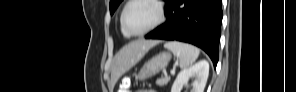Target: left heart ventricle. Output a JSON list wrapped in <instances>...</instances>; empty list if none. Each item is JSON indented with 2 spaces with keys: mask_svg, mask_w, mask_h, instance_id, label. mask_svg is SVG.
<instances>
[{
  "mask_svg": "<svg viewBox=\"0 0 296 92\" xmlns=\"http://www.w3.org/2000/svg\"><path fill=\"white\" fill-rule=\"evenodd\" d=\"M157 18V7L148 1L132 3L125 14L126 26L132 32H140L147 29Z\"/></svg>",
  "mask_w": 296,
  "mask_h": 92,
  "instance_id": "1",
  "label": "left heart ventricle"
}]
</instances>
